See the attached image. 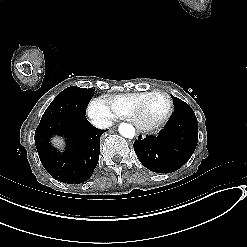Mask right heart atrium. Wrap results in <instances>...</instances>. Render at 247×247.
I'll return each instance as SVG.
<instances>
[{
	"mask_svg": "<svg viewBox=\"0 0 247 247\" xmlns=\"http://www.w3.org/2000/svg\"><path fill=\"white\" fill-rule=\"evenodd\" d=\"M91 121L95 124H108L112 120V111L101 98H93L87 109Z\"/></svg>",
	"mask_w": 247,
	"mask_h": 247,
	"instance_id": "1",
	"label": "right heart atrium"
}]
</instances>
